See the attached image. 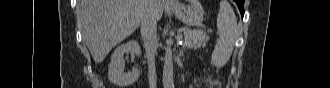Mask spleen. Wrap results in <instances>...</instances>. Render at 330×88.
<instances>
[{"label": "spleen", "instance_id": "1", "mask_svg": "<svg viewBox=\"0 0 330 88\" xmlns=\"http://www.w3.org/2000/svg\"><path fill=\"white\" fill-rule=\"evenodd\" d=\"M219 41L212 53V63L216 67H223L229 60L234 44L239 37L237 19L228 1L222 0L217 16Z\"/></svg>", "mask_w": 330, "mask_h": 88}]
</instances>
